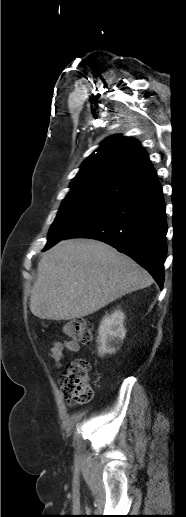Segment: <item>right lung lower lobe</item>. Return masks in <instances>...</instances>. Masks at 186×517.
<instances>
[{
  "instance_id": "98d812e1",
  "label": "right lung lower lobe",
  "mask_w": 186,
  "mask_h": 517,
  "mask_svg": "<svg viewBox=\"0 0 186 517\" xmlns=\"http://www.w3.org/2000/svg\"><path fill=\"white\" fill-rule=\"evenodd\" d=\"M159 182L136 190L78 227L68 238H91L116 248L164 281L167 223Z\"/></svg>"
}]
</instances>
